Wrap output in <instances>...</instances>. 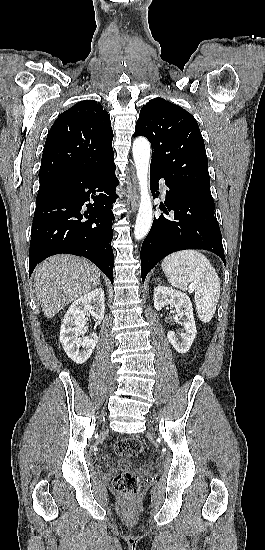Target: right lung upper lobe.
<instances>
[{
	"label": "right lung upper lobe",
	"mask_w": 265,
	"mask_h": 550,
	"mask_svg": "<svg viewBox=\"0 0 265 550\" xmlns=\"http://www.w3.org/2000/svg\"><path fill=\"white\" fill-rule=\"evenodd\" d=\"M113 131L100 103L81 101L63 112L51 127L39 171L40 187L104 167L113 160Z\"/></svg>",
	"instance_id": "right-lung-upper-lobe-1"
}]
</instances>
